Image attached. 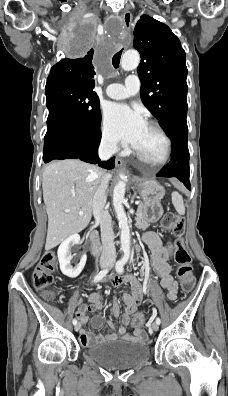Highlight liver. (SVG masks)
Wrapping results in <instances>:
<instances>
[{
	"instance_id": "liver-1",
	"label": "liver",
	"mask_w": 228,
	"mask_h": 396,
	"mask_svg": "<svg viewBox=\"0 0 228 396\" xmlns=\"http://www.w3.org/2000/svg\"><path fill=\"white\" fill-rule=\"evenodd\" d=\"M103 175L97 166L80 160H62L45 167L42 189L48 215L46 250L88 226L93 197ZM80 210L83 215H79Z\"/></svg>"
}]
</instances>
